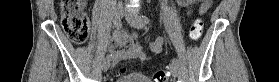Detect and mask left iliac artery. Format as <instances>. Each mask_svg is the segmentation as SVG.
Wrapping results in <instances>:
<instances>
[{
	"label": "left iliac artery",
	"mask_w": 279,
	"mask_h": 82,
	"mask_svg": "<svg viewBox=\"0 0 279 82\" xmlns=\"http://www.w3.org/2000/svg\"><path fill=\"white\" fill-rule=\"evenodd\" d=\"M140 19H141V21H143L145 23H148L150 21L149 17L146 16V15H141ZM172 62L175 63V64H178V60L175 59V58L172 60Z\"/></svg>",
	"instance_id": "left-iliac-artery-1"
}]
</instances>
